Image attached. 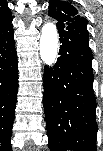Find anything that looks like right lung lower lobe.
I'll use <instances>...</instances> for the list:
<instances>
[{
    "instance_id": "right-lung-lower-lobe-1",
    "label": "right lung lower lobe",
    "mask_w": 103,
    "mask_h": 151,
    "mask_svg": "<svg viewBox=\"0 0 103 151\" xmlns=\"http://www.w3.org/2000/svg\"><path fill=\"white\" fill-rule=\"evenodd\" d=\"M18 92V67L13 26L0 31V142L10 149Z\"/></svg>"
}]
</instances>
